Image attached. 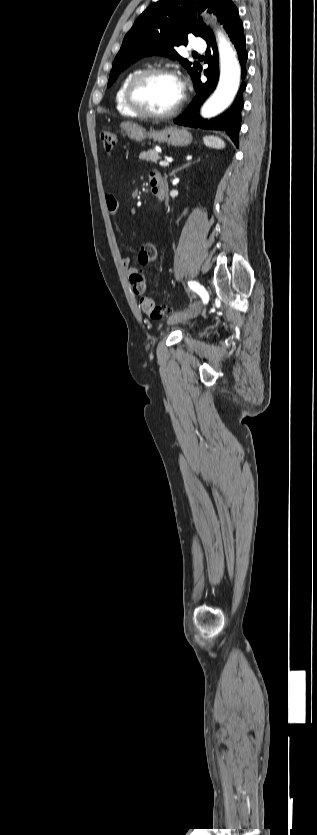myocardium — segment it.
I'll return each instance as SVG.
<instances>
[{
  "instance_id": "1",
  "label": "myocardium",
  "mask_w": 317,
  "mask_h": 835,
  "mask_svg": "<svg viewBox=\"0 0 317 835\" xmlns=\"http://www.w3.org/2000/svg\"><path fill=\"white\" fill-rule=\"evenodd\" d=\"M157 75L168 76L174 78L178 81V77L174 71L164 67H152L145 70L140 71L136 74L131 81L129 82L125 97L129 107L137 113L139 116L149 119H164L169 118L176 115L183 104L184 96L181 95L179 102L171 109L164 111V112H153L148 110L143 106V104L138 100L137 93L140 87L147 81L149 78Z\"/></svg>"
}]
</instances>
